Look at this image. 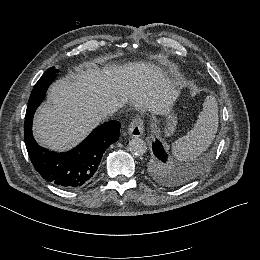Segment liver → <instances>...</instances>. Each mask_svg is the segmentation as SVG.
I'll return each mask as SVG.
<instances>
[{
    "mask_svg": "<svg viewBox=\"0 0 260 260\" xmlns=\"http://www.w3.org/2000/svg\"><path fill=\"white\" fill-rule=\"evenodd\" d=\"M181 88L173 75L166 77L143 64L103 72L88 64L50 87L47 103L35 116L34 134L40 144L64 149L106 117L105 104L116 96L159 114L177 101Z\"/></svg>",
    "mask_w": 260,
    "mask_h": 260,
    "instance_id": "obj_1",
    "label": "liver"
}]
</instances>
